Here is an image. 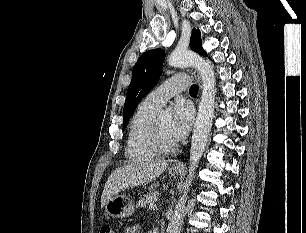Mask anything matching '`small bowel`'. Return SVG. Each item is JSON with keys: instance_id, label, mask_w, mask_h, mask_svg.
<instances>
[{"instance_id": "1", "label": "small bowel", "mask_w": 306, "mask_h": 233, "mask_svg": "<svg viewBox=\"0 0 306 233\" xmlns=\"http://www.w3.org/2000/svg\"><path fill=\"white\" fill-rule=\"evenodd\" d=\"M139 231H140L139 225H134L129 227L125 233H139Z\"/></svg>"}]
</instances>
